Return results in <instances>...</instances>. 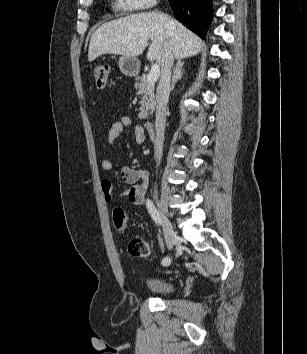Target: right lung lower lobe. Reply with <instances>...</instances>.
Wrapping results in <instances>:
<instances>
[{
	"instance_id": "1",
	"label": "right lung lower lobe",
	"mask_w": 307,
	"mask_h": 354,
	"mask_svg": "<svg viewBox=\"0 0 307 354\" xmlns=\"http://www.w3.org/2000/svg\"><path fill=\"white\" fill-rule=\"evenodd\" d=\"M212 0H169L176 18L204 38L212 18Z\"/></svg>"
}]
</instances>
